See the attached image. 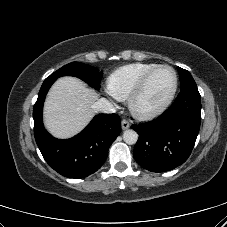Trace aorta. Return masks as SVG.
Instances as JSON below:
<instances>
[{
  "instance_id": "762f6f07",
  "label": "aorta",
  "mask_w": 227,
  "mask_h": 227,
  "mask_svg": "<svg viewBox=\"0 0 227 227\" xmlns=\"http://www.w3.org/2000/svg\"><path fill=\"white\" fill-rule=\"evenodd\" d=\"M123 140L129 145H133L138 140V134L134 130H125L123 133Z\"/></svg>"
}]
</instances>
